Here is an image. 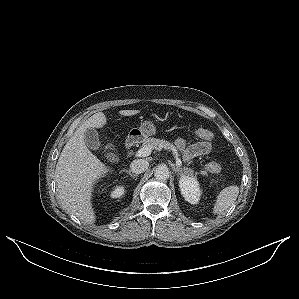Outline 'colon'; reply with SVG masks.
Listing matches in <instances>:
<instances>
[{
  "mask_svg": "<svg viewBox=\"0 0 299 299\" xmlns=\"http://www.w3.org/2000/svg\"><path fill=\"white\" fill-rule=\"evenodd\" d=\"M192 135L195 138H198L201 140H207V141H211L214 138V134L210 130L203 129V128H198V129L193 130ZM105 147L112 148L113 143L107 141L105 143ZM208 169L213 172H219L221 170V166L216 162H210L208 164Z\"/></svg>",
  "mask_w": 299,
  "mask_h": 299,
  "instance_id": "1",
  "label": "colon"
}]
</instances>
